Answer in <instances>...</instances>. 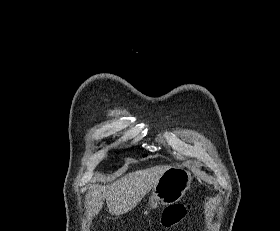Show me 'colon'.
Here are the masks:
<instances>
[{"label": "colon", "instance_id": "obj_1", "mask_svg": "<svg viewBox=\"0 0 280 231\" xmlns=\"http://www.w3.org/2000/svg\"><path fill=\"white\" fill-rule=\"evenodd\" d=\"M195 200L193 198L190 201L189 205H176V208H167L166 211H163V220L161 221L162 225H170L169 229L170 230H175L176 226L173 225L174 221L173 220H184L185 215L190 212V208L192 205V202Z\"/></svg>", "mask_w": 280, "mask_h": 231}]
</instances>
